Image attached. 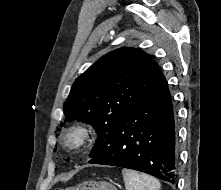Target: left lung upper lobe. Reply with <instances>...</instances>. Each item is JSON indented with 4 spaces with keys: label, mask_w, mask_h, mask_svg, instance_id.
I'll list each match as a JSON object with an SVG mask.
<instances>
[{
    "label": "left lung upper lobe",
    "mask_w": 221,
    "mask_h": 190,
    "mask_svg": "<svg viewBox=\"0 0 221 190\" xmlns=\"http://www.w3.org/2000/svg\"><path fill=\"white\" fill-rule=\"evenodd\" d=\"M153 58L135 48H119L100 58L74 82L63 105L65 121H83L97 131L90 157L107 147L114 127L135 109L162 78Z\"/></svg>",
    "instance_id": "1"
}]
</instances>
